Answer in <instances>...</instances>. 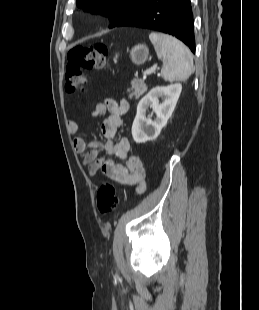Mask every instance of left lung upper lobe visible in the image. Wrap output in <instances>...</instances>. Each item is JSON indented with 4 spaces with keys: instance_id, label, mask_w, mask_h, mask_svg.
I'll list each match as a JSON object with an SVG mask.
<instances>
[{
    "instance_id": "obj_1",
    "label": "left lung upper lobe",
    "mask_w": 259,
    "mask_h": 310,
    "mask_svg": "<svg viewBox=\"0 0 259 310\" xmlns=\"http://www.w3.org/2000/svg\"><path fill=\"white\" fill-rule=\"evenodd\" d=\"M150 0H76L77 6L92 14H101L109 18L110 27L115 26L122 18L134 9Z\"/></svg>"
}]
</instances>
